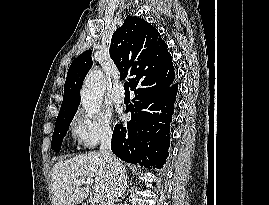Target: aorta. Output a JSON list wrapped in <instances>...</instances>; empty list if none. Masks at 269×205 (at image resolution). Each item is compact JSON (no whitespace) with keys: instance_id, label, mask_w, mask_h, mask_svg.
Returning a JSON list of instances; mask_svg holds the SVG:
<instances>
[{"instance_id":"obj_1","label":"aorta","mask_w":269,"mask_h":205,"mask_svg":"<svg viewBox=\"0 0 269 205\" xmlns=\"http://www.w3.org/2000/svg\"><path fill=\"white\" fill-rule=\"evenodd\" d=\"M105 90L103 74L99 70H92L81 90V105L89 117H94L100 111Z\"/></svg>"}]
</instances>
